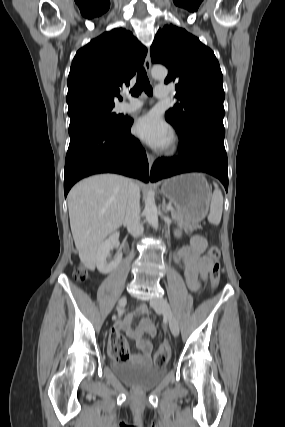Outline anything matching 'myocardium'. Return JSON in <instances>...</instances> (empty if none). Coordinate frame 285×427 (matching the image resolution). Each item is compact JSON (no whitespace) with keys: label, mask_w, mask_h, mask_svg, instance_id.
Instances as JSON below:
<instances>
[{"label":"myocardium","mask_w":285,"mask_h":427,"mask_svg":"<svg viewBox=\"0 0 285 427\" xmlns=\"http://www.w3.org/2000/svg\"><path fill=\"white\" fill-rule=\"evenodd\" d=\"M177 141L176 140H174L173 141V143H172V145H171V147H170V152H173V151H175L176 150V148H177Z\"/></svg>","instance_id":"obj_1"}]
</instances>
